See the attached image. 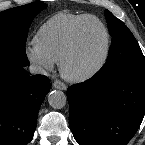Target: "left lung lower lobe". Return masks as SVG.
Listing matches in <instances>:
<instances>
[{
	"label": "left lung lower lobe",
	"mask_w": 145,
	"mask_h": 145,
	"mask_svg": "<svg viewBox=\"0 0 145 145\" xmlns=\"http://www.w3.org/2000/svg\"><path fill=\"white\" fill-rule=\"evenodd\" d=\"M69 123L80 145H126L145 114V68L95 75L68 88Z\"/></svg>",
	"instance_id": "left-lung-lower-lobe-1"
}]
</instances>
